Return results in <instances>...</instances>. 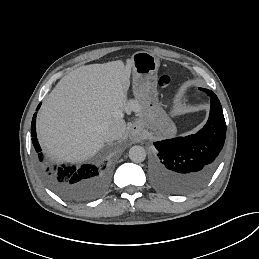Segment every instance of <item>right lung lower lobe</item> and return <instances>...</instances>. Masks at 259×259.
Listing matches in <instances>:
<instances>
[{
    "instance_id": "98d812e1",
    "label": "right lung lower lobe",
    "mask_w": 259,
    "mask_h": 259,
    "mask_svg": "<svg viewBox=\"0 0 259 259\" xmlns=\"http://www.w3.org/2000/svg\"><path fill=\"white\" fill-rule=\"evenodd\" d=\"M41 103L38 105V110ZM36 114L31 123L32 143L38 156V168L44 180L60 196L72 202H83L101 196L109 183V168L106 163L100 165L86 164L76 166H52L49 164L36 136Z\"/></svg>"
}]
</instances>
